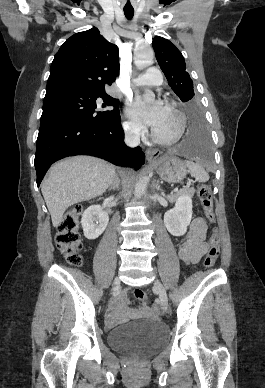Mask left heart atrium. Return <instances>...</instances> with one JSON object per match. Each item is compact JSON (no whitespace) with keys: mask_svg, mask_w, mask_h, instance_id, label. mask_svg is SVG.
<instances>
[{"mask_svg":"<svg viewBox=\"0 0 265 388\" xmlns=\"http://www.w3.org/2000/svg\"><path fill=\"white\" fill-rule=\"evenodd\" d=\"M149 101L152 100L144 96L136 97L130 104L129 112L134 118L155 126L161 120L165 108L160 101L153 104Z\"/></svg>","mask_w":265,"mask_h":388,"instance_id":"39dd6f15","label":"left heart atrium"}]
</instances>
